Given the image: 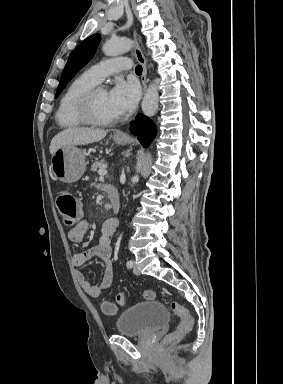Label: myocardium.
<instances>
[{
  "label": "myocardium",
  "instance_id": "f54148a6",
  "mask_svg": "<svg viewBox=\"0 0 283 384\" xmlns=\"http://www.w3.org/2000/svg\"><path fill=\"white\" fill-rule=\"evenodd\" d=\"M106 89L103 85H94L86 90L76 101L74 105L75 117L84 125L93 127H110L115 125L119 119L101 120L93 112V101L96 93Z\"/></svg>",
  "mask_w": 283,
  "mask_h": 384
}]
</instances>
